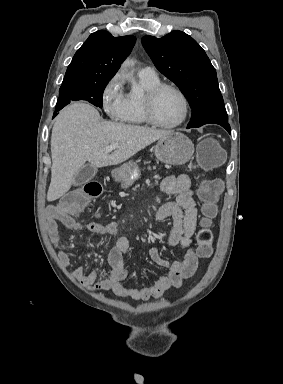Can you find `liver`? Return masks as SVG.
<instances>
[{"label":"liver","mask_w":283,"mask_h":384,"mask_svg":"<svg viewBox=\"0 0 283 384\" xmlns=\"http://www.w3.org/2000/svg\"><path fill=\"white\" fill-rule=\"evenodd\" d=\"M170 134V130L102 122L98 110L87 102L70 104L61 110L52 128L48 202L58 200L70 190L75 174L85 162H90L93 168L117 166ZM109 144H119L112 154L103 150Z\"/></svg>","instance_id":"1"}]
</instances>
